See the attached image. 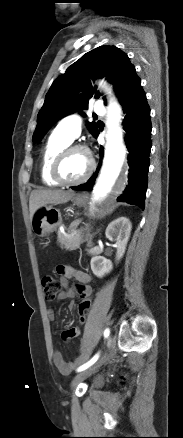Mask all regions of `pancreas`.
I'll use <instances>...</instances> for the list:
<instances>
[{"mask_svg":"<svg viewBox=\"0 0 183 438\" xmlns=\"http://www.w3.org/2000/svg\"><path fill=\"white\" fill-rule=\"evenodd\" d=\"M71 232L68 231V235H70ZM58 243L60 244V247L69 251L76 250L79 248L80 244L83 242L82 240V230H79L75 235L73 236H67L65 233L58 231Z\"/></svg>","mask_w":183,"mask_h":438,"instance_id":"1","label":"pancreas"}]
</instances>
